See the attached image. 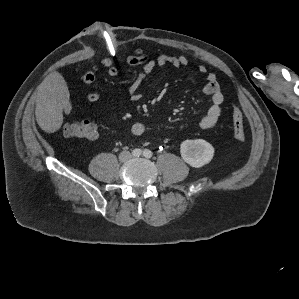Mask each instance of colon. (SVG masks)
Listing matches in <instances>:
<instances>
[{
	"instance_id": "colon-1",
	"label": "colon",
	"mask_w": 299,
	"mask_h": 299,
	"mask_svg": "<svg viewBox=\"0 0 299 299\" xmlns=\"http://www.w3.org/2000/svg\"><path fill=\"white\" fill-rule=\"evenodd\" d=\"M233 136L237 140L245 138L244 117L241 110L233 107ZM63 133L67 137L93 139L97 136L96 124L88 120H71L63 125Z\"/></svg>"
}]
</instances>
